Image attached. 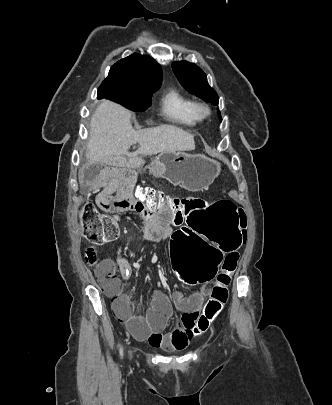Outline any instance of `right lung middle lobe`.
Returning <instances> with one entry per match:
<instances>
[{
	"mask_svg": "<svg viewBox=\"0 0 332 405\" xmlns=\"http://www.w3.org/2000/svg\"><path fill=\"white\" fill-rule=\"evenodd\" d=\"M160 85L136 84L119 76H108L98 89V99L115 101L132 111H145Z\"/></svg>",
	"mask_w": 332,
	"mask_h": 405,
	"instance_id": "dd1d6c3e",
	"label": "right lung middle lobe"
}]
</instances>
